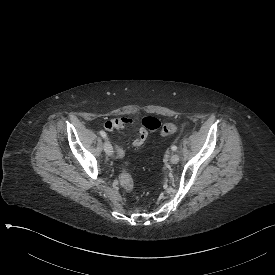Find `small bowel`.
<instances>
[{"instance_id":"obj_1","label":"small bowel","mask_w":275,"mask_h":275,"mask_svg":"<svg viewBox=\"0 0 275 275\" xmlns=\"http://www.w3.org/2000/svg\"><path fill=\"white\" fill-rule=\"evenodd\" d=\"M133 119L132 118H118L114 119H107L104 122V129L107 132H114L119 131L120 129L124 128V125H132ZM159 127V120L156 117L152 116H145L141 120V127L139 128V136L134 140L133 145L135 147L142 146L147 138L146 130H156ZM123 151L120 148H117L116 155L122 156Z\"/></svg>"}]
</instances>
